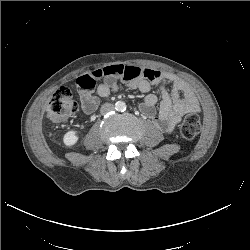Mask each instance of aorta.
<instances>
[{
    "label": "aorta",
    "instance_id": "1",
    "mask_svg": "<svg viewBox=\"0 0 250 250\" xmlns=\"http://www.w3.org/2000/svg\"><path fill=\"white\" fill-rule=\"evenodd\" d=\"M115 109L119 112H123L126 110V103L123 101H118L115 104Z\"/></svg>",
    "mask_w": 250,
    "mask_h": 250
}]
</instances>
